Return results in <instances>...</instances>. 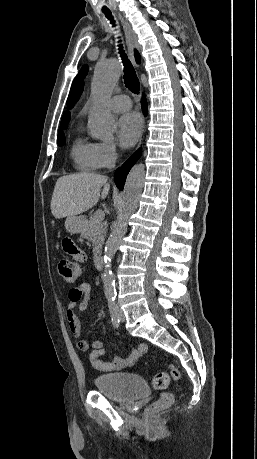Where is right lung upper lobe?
I'll list each match as a JSON object with an SVG mask.
<instances>
[{"label":"right lung upper lobe","instance_id":"right-lung-upper-lobe-1","mask_svg":"<svg viewBox=\"0 0 257 459\" xmlns=\"http://www.w3.org/2000/svg\"><path fill=\"white\" fill-rule=\"evenodd\" d=\"M135 58H136V61L139 63L140 62V56L138 54L137 51H135ZM70 120V114L68 112H65L64 115L62 116V121H61V129H65L66 128V124L69 122ZM61 132V130L58 131V133Z\"/></svg>","mask_w":257,"mask_h":459}]
</instances>
